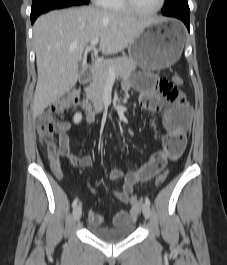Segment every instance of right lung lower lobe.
<instances>
[{
	"label": "right lung lower lobe",
	"instance_id": "right-lung-lower-lobe-1",
	"mask_svg": "<svg viewBox=\"0 0 227 265\" xmlns=\"http://www.w3.org/2000/svg\"><path fill=\"white\" fill-rule=\"evenodd\" d=\"M75 5H82V3H68V4H63V5H60L54 9H57V8H65V7H70V6H75ZM38 16H31V22L32 24L34 23L35 19L37 18Z\"/></svg>",
	"mask_w": 227,
	"mask_h": 265
}]
</instances>
